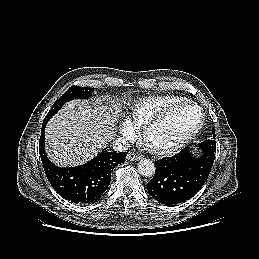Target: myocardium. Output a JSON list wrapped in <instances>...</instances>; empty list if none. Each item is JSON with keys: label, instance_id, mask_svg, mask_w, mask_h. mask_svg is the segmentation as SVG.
Returning <instances> with one entry per match:
<instances>
[{"label": "myocardium", "instance_id": "1", "mask_svg": "<svg viewBox=\"0 0 259 259\" xmlns=\"http://www.w3.org/2000/svg\"><path fill=\"white\" fill-rule=\"evenodd\" d=\"M184 107H194L199 112V120L197 124L184 136L180 137L179 139L170 142V143H157L152 138L153 131L162 125L165 121H167L176 111L184 108ZM204 112L203 109L196 103L192 101H185L179 104H176L167 110L163 111L156 117L149 120L143 128V141L146 145V147L157 155H169L172 154L180 149H182L184 146L189 144L195 136L199 133L201 130L203 124H204Z\"/></svg>", "mask_w": 259, "mask_h": 259}]
</instances>
